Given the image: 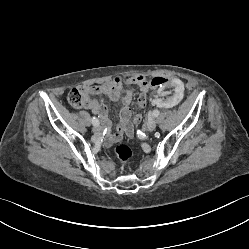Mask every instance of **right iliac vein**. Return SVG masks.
Returning <instances> with one entry per match:
<instances>
[{
  "label": "right iliac vein",
  "instance_id": "obj_1",
  "mask_svg": "<svg viewBox=\"0 0 249 249\" xmlns=\"http://www.w3.org/2000/svg\"><path fill=\"white\" fill-rule=\"evenodd\" d=\"M92 130H93V132H94L95 134H100V133H101V127L98 126V125L94 126V127L92 128Z\"/></svg>",
  "mask_w": 249,
  "mask_h": 249
}]
</instances>
